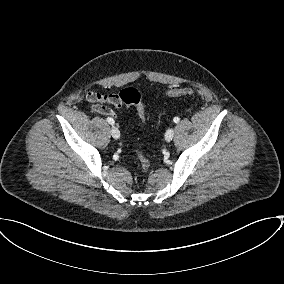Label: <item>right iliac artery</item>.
<instances>
[{
    "label": "right iliac artery",
    "mask_w": 284,
    "mask_h": 284,
    "mask_svg": "<svg viewBox=\"0 0 284 284\" xmlns=\"http://www.w3.org/2000/svg\"><path fill=\"white\" fill-rule=\"evenodd\" d=\"M107 122H108L109 124H111V125L114 124V120H113V118H111V117H108V118H107Z\"/></svg>",
    "instance_id": "82829eb1"
}]
</instances>
